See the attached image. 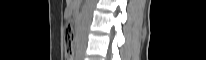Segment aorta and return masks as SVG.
Instances as JSON below:
<instances>
[{"label": "aorta", "mask_w": 206, "mask_h": 60, "mask_svg": "<svg viewBox=\"0 0 206 60\" xmlns=\"http://www.w3.org/2000/svg\"><path fill=\"white\" fill-rule=\"evenodd\" d=\"M95 4H96V0H87L86 1V6H85L84 11H83L82 21H81V24L78 28V38L80 41V44H79L80 48L85 47V41L87 38V33H88V29H89V26L91 23L92 13H93Z\"/></svg>", "instance_id": "1"}]
</instances>
